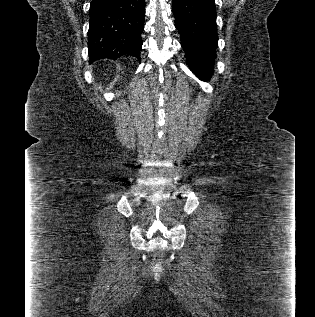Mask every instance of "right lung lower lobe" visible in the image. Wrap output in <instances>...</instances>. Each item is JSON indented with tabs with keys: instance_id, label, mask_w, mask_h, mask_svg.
I'll list each match as a JSON object with an SVG mask.
<instances>
[{
	"instance_id": "obj_1",
	"label": "right lung lower lobe",
	"mask_w": 315,
	"mask_h": 317,
	"mask_svg": "<svg viewBox=\"0 0 315 317\" xmlns=\"http://www.w3.org/2000/svg\"><path fill=\"white\" fill-rule=\"evenodd\" d=\"M145 0H92L88 31L89 62L123 55L140 58Z\"/></svg>"
}]
</instances>
